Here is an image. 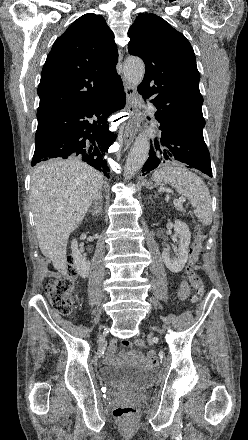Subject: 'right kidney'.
<instances>
[{"label":"right kidney","instance_id":"right-kidney-1","mask_svg":"<svg viewBox=\"0 0 248 440\" xmlns=\"http://www.w3.org/2000/svg\"><path fill=\"white\" fill-rule=\"evenodd\" d=\"M71 249H72L73 263L76 267V272L83 279L87 278L89 275L91 264L90 261H88L86 257L83 256L79 251L78 242L76 239H73V241L71 242Z\"/></svg>","mask_w":248,"mask_h":440}]
</instances>
